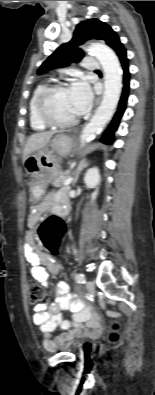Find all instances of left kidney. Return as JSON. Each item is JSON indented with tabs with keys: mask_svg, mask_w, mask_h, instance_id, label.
I'll use <instances>...</instances> for the list:
<instances>
[{
	"mask_svg": "<svg viewBox=\"0 0 155 395\" xmlns=\"http://www.w3.org/2000/svg\"><path fill=\"white\" fill-rule=\"evenodd\" d=\"M100 181L101 177L99 169L97 167H92L86 171L84 175L85 185L89 188H95V191L91 195L92 201H94L98 195V186L100 184Z\"/></svg>",
	"mask_w": 155,
	"mask_h": 395,
	"instance_id": "obj_1",
	"label": "left kidney"
}]
</instances>
